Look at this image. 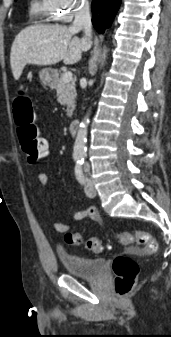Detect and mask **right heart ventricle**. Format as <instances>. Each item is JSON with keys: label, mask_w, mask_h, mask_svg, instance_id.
I'll return each instance as SVG.
<instances>
[{"label": "right heart ventricle", "mask_w": 171, "mask_h": 337, "mask_svg": "<svg viewBox=\"0 0 171 337\" xmlns=\"http://www.w3.org/2000/svg\"><path fill=\"white\" fill-rule=\"evenodd\" d=\"M30 10L33 15L41 18L52 17L47 0H33Z\"/></svg>", "instance_id": "e07e8e85"}]
</instances>
